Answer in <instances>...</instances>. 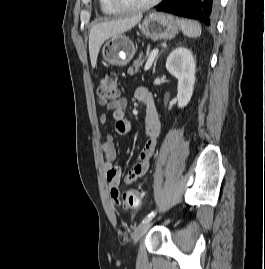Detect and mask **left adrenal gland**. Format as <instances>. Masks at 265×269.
I'll use <instances>...</instances> for the list:
<instances>
[{
    "instance_id": "obj_1",
    "label": "left adrenal gland",
    "mask_w": 265,
    "mask_h": 269,
    "mask_svg": "<svg viewBox=\"0 0 265 269\" xmlns=\"http://www.w3.org/2000/svg\"><path fill=\"white\" fill-rule=\"evenodd\" d=\"M161 53H162V52H160V53L157 55L156 59H155L154 66H153V74L155 73L156 63H157V60H158V58H159V56H160Z\"/></svg>"
}]
</instances>
